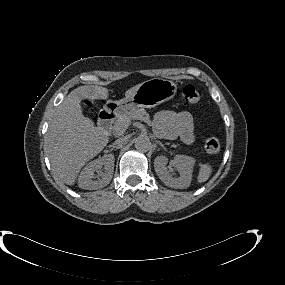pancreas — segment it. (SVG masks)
Listing matches in <instances>:
<instances>
[{"label":"pancreas","mask_w":285,"mask_h":285,"mask_svg":"<svg viewBox=\"0 0 285 285\" xmlns=\"http://www.w3.org/2000/svg\"><path fill=\"white\" fill-rule=\"evenodd\" d=\"M140 118H149V115L144 108L132 109L119 115V117L114 121V125L112 126V131L114 135H122L129 126L131 120H136Z\"/></svg>","instance_id":"obj_1"}]
</instances>
